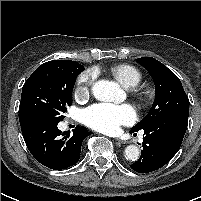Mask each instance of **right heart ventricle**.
<instances>
[{"instance_id":"obj_1","label":"right heart ventricle","mask_w":201,"mask_h":201,"mask_svg":"<svg viewBox=\"0 0 201 201\" xmlns=\"http://www.w3.org/2000/svg\"><path fill=\"white\" fill-rule=\"evenodd\" d=\"M109 73L124 87L132 88L142 79L141 72L130 64H117L109 69Z\"/></svg>"}]
</instances>
